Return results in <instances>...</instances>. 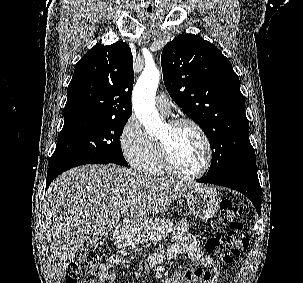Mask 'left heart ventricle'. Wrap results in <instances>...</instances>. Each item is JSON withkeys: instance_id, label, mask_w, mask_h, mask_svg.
<instances>
[{"instance_id": "obj_1", "label": "left heart ventricle", "mask_w": 303, "mask_h": 283, "mask_svg": "<svg viewBox=\"0 0 303 283\" xmlns=\"http://www.w3.org/2000/svg\"><path fill=\"white\" fill-rule=\"evenodd\" d=\"M158 138L167 141L176 167L184 173L199 171L205 161V148L199 134L190 126L175 130L166 125Z\"/></svg>"}]
</instances>
